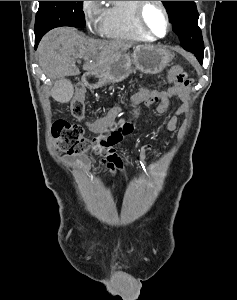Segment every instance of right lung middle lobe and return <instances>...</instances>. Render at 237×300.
<instances>
[{"label":"right lung middle lobe","mask_w":237,"mask_h":300,"mask_svg":"<svg viewBox=\"0 0 237 300\" xmlns=\"http://www.w3.org/2000/svg\"><path fill=\"white\" fill-rule=\"evenodd\" d=\"M83 1H39V9L35 20V43L52 28L85 26V16L82 11Z\"/></svg>","instance_id":"right-lung-middle-lobe-1"}]
</instances>
